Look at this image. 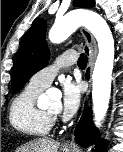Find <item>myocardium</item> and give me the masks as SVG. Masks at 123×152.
I'll list each match as a JSON object with an SVG mask.
<instances>
[{"label":"myocardium","mask_w":123,"mask_h":152,"mask_svg":"<svg viewBox=\"0 0 123 152\" xmlns=\"http://www.w3.org/2000/svg\"><path fill=\"white\" fill-rule=\"evenodd\" d=\"M46 114H47V116L50 118V120H51L52 122H54V121L57 120L58 114L51 113V112H48V111H46Z\"/></svg>","instance_id":"myocardium-1"}]
</instances>
